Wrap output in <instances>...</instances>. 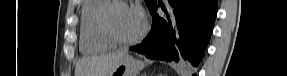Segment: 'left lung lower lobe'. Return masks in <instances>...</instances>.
<instances>
[{
  "label": "left lung lower lobe",
  "mask_w": 287,
  "mask_h": 76,
  "mask_svg": "<svg viewBox=\"0 0 287 76\" xmlns=\"http://www.w3.org/2000/svg\"><path fill=\"white\" fill-rule=\"evenodd\" d=\"M170 10L150 9L152 27L141 44L130 48L150 59L198 67L209 42L217 14V0H168ZM159 4V3H158Z\"/></svg>",
  "instance_id": "obj_1"
}]
</instances>
